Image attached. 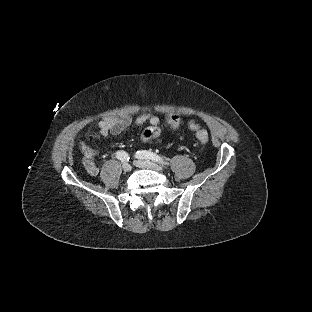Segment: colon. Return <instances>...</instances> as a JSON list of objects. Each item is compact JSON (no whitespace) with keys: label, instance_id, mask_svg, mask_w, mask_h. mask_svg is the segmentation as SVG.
Segmentation results:
<instances>
[{"label":"colon","instance_id":"obj_1","mask_svg":"<svg viewBox=\"0 0 312 312\" xmlns=\"http://www.w3.org/2000/svg\"><path fill=\"white\" fill-rule=\"evenodd\" d=\"M166 122L168 123L169 127L174 128L176 125L180 123V118L178 116L174 115H168L166 117ZM160 133V130L158 127L153 125H148L143 127L139 132V139L141 142L146 143L149 141L150 136L156 137ZM197 138L202 144L208 143V135L207 133L203 131L197 132Z\"/></svg>","mask_w":312,"mask_h":312}]
</instances>
